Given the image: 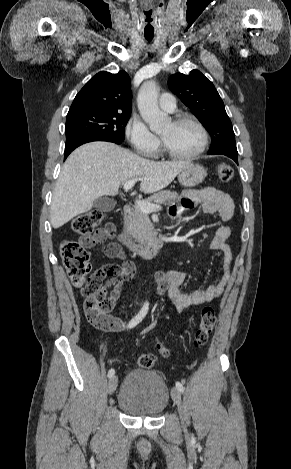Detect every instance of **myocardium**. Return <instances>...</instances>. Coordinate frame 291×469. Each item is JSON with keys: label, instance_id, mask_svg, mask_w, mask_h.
<instances>
[{"label": "myocardium", "instance_id": "obj_1", "mask_svg": "<svg viewBox=\"0 0 291 469\" xmlns=\"http://www.w3.org/2000/svg\"><path fill=\"white\" fill-rule=\"evenodd\" d=\"M184 122H189L197 128L201 136V141H200L198 148L194 152L190 154L181 155V154H177L171 151L167 147V145L165 144L164 140L161 137V148H162L163 153L167 155L168 157L175 159V160H182V161L193 160L197 158L198 156H200L205 151L208 145V139H209L208 132L206 128L203 126V124L197 118H195L194 116L190 114H180V115L175 116L174 119L172 120L173 124H181Z\"/></svg>", "mask_w": 291, "mask_h": 469}]
</instances>
